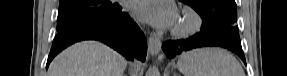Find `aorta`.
<instances>
[{
	"label": "aorta",
	"mask_w": 287,
	"mask_h": 76,
	"mask_svg": "<svg viewBox=\"0 0 287 76\" xmlns=\"http://www.w3.org/2000/svg\"><path fill=\"white\" fill-rule=\"evenodd\" d=\"M146 76H160V72L156 66H150L146 72Z\"/></svg>",
	"instance_id": "1"
}]
</instances>
